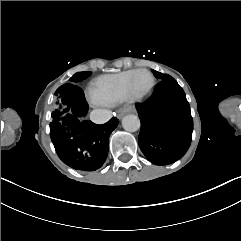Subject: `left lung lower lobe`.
I'll use <instances>...</instances> for the list:
<instances>
[{
    "instance_id": "obj_1",
    "label": "left lung lower lobe",
    "mask_w": 241,
    "mask_h": 241,
    "mask_svg": "<svg viewBox=\"0 0 241 241\" xmlns=\"http://www.w3.org/2000/svg\"><path fill=\"white\" fill-rule=\"evenodd\" d=\"M140 115L139 146L155 165H167L180 159L188 150L193 119L184 90L172 77L163 79L152 96L136 104Z\"/></svg>"
}]
</instances>
